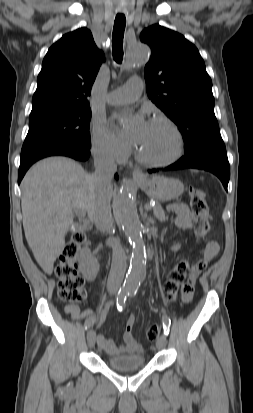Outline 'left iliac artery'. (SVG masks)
<instances>
[{
    "mask_svg": "<svg viewBox=\"0 0 253 413\" xmlns=\"http://www.w3.org/2000/svg\"><path fill=\"white\" fill-rule=\"evenodd\" d=\"M136 292H137V289H132L129 291L128 296L133 297L136 295ZM162 321H163L164 334L165 336H168L169 331H170L171 320L167 316H165L163 317Z\"/></svg>",
    "mask_w": 253,
    "mask_h": 413,
    "instance_id": "44dca946",
    "label": "left iliac artery"
}]
</instances>
